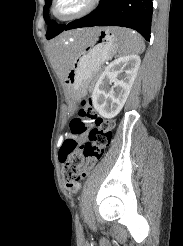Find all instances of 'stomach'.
<instances>
[{"instance_id":"1","label":"stomach","mask_w":183,"mask_h":246,"mask_svg":"<svg viewBox=\"0 0 183 246\" xmlns=\"http://www.w3.org/2000/svg\"><path fill=\"white\" fill-rule=\"evenodd\" d=\"M120 31V28H98L90 40L64 42L66 51L72 56V65L64 80L71 108H75L76 102L85 94L87 84L102 63L116 53L121 43L118 37Z\"/></svg>"}]
</instances>
